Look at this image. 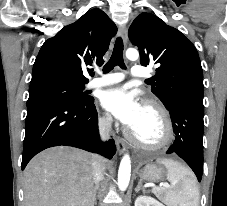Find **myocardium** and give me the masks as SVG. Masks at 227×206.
<instances>
[{"label":"myocardium","instance_id":"obj_1","mask_svg":"<svg viewBox=\"0 0 227 206\" xmlns=\"http://www.w3.org/2000/svg\"><path fill=\"white\" fill-rule=\"evenodd\" d=\"M144 108L152 110L159 118L161 124V136L152 142H146L139 139L133 130L128 132V136L132 143L140 148L148 150H157L167 146L173 138V125L166 108L158 101L147 99L144 101Z\"/></svg>","mask_w":227,"mask_h":206}]
</instances>
